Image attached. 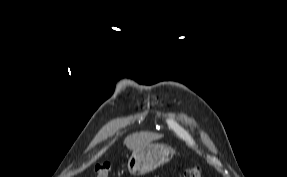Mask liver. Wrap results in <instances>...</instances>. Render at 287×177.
Masks as SVG:
<instances>
[{"instance_id":"1","label":"liver","mask_w":287,"mask_h":177,"mask_svg":"<svg viewBox=\"0 0 287 177\" xmlns=\"http://www.w3.org/2000/svg\"><path fill=\"white\" fill-rule=\"evenodd\" d=\"M162 135L150 133V132H140L134 133L130 136H127L124 140V144L130 150H135L141 148L145 145L150 144L152 141L160 139Z\"/></svg>"}]
</instances>
